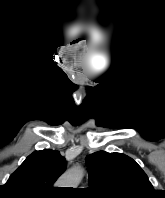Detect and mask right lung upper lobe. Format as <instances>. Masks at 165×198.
<instances>
[{"instance_id": "1", "label": "right lung upper lobe", "mask_w": 165, "mask_h": 198, "mask_svg": "<svg viewBox=\"0 0 165 198\" xmlns=\"http://www.w3.org/2000/svg\"><path fill=\"white\" fill-rule=\"evenodd\" d=\"M65 168L66 160L58 151H35L10 176L4 187L19 196L48 197L54 191L52 185Z\"/></svg>"}]
</instances>
